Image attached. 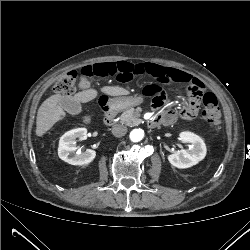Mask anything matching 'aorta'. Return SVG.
Returning a JSON list of instances; mask_svg holds the SVG:
<instances>
[{
  "label": "aorta",
  "instance_id": "762f6f07",
  "mask_svg": "<svg viewBox=\"0 0 250 250\" xmlns=\"http://www.w3.org/2000/svg\"><path fill=\"white\" fill-rule=\"evenodd\" d=\"M144 137V131L142 129H134L130 132V140L132 142H139Z\"/></svg>",
  "mask_w": 250,
  "mask_h": 250
}]
</instances>
